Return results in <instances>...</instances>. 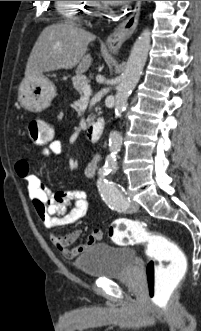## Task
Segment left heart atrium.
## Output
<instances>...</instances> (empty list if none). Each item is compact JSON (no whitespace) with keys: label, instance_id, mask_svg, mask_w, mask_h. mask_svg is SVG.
Masks as SVG:
<instances>
[{"label":"left heart atrium","instance_id":"39dd6f15","mask_svg":"<svg viewBox=\"0 0 201 331\" xmlns=\"http://www.w3.org/2000/svg\"><path fill=\"white\" fill-rule=\"evenodd\" d=\"M105 2L112 5H123L129 3L130 1H105Z\"/></svg>","mask_w":201,"mask_h":331}]
</instances>
